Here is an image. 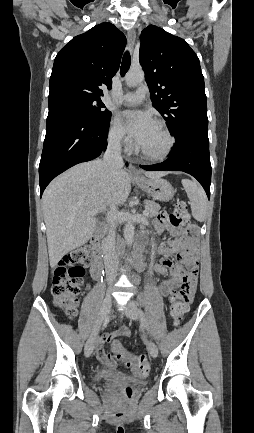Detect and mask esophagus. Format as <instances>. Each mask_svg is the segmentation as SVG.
<instances>
[{
  "label": "esophagus",
  "mask_w": 254,
  "mask_h": 433,
  "mask_svg": "<svg viewBox=\"0 0 254 433\" xmlns=\"http://www.w3.org/2000/svg\"><path fill=\"white\" fill-rule=\"evenodd\" d=\"M135 39H136V32L134 29H130L127 32V41H128V48L130 52H133L134 45H135ZM130 175L134 178L140 177V174L138 173L136 167L134 165L130 166Z\"/></svg>",
  "instance_id": "34e87169"
}]
</instances>
